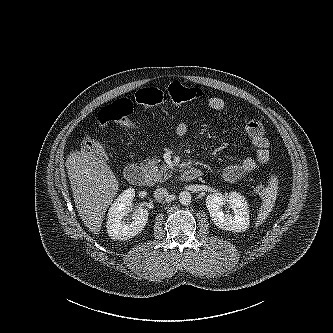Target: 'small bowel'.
I'll list each match as a JSON object with an SVG mask.
<instances>
[{
  "label": "small bowel",
  "instance_id": "c3829d8e",
  "mask_svg": "<svg viewBox=\"0 0 333 333\" xmlns=\"http://www.w3.org/2000/svg\"><path fill=\"white\" fill-rule=\"evenodd\" d=\"M207 105L210 109L218 112L225 111L227 108L226 101L217 96L208 98ZM175 132L178 136L186 135L188 125L185 122H180L176 126ZM245 132L255 147L256 153L255 156L245 157L240 162L228 164L223 168V177L229 182L240 180L246 174L265 164L270 156V143L261 122L256 119H248L245 122Z\"/></svg>",
  "mask_w": 333,
  "mask_h": 333
}]
</instances>
